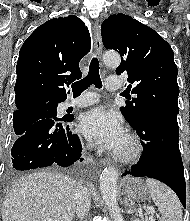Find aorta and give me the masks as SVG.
Returning a JSON list of instances; mask_svg holds the SVG:
<instances>
[{"label":"aorta","mask_w":190,"mask_h":221,"mask_svg":"<svg viewBox=\"0 0 190 221\" xmlns=\"http://www.w3.org/2000/svg\"><path fill=\"white\" fill-rule=\"evenodd\" d=\"M103 61L108 66H118L121 60L117 53H106ZM118 179L116 168L112 166L105 168L100 176V191L114 221H124L117 202Z\"/></svg>","instance_id":"obj_1"}]
</instances>
